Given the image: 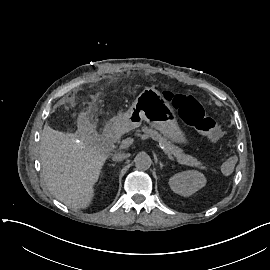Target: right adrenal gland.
Segmentation results:
<instances>
[{
	"label": "right adrenal gland",
	"instance_id": "2a0ac1e0",
	"mask_svg": "<svg viewBox=\"0 0 270 270\" xmlns=\"http://www.w3.org/2000/svg\"><path fill=\"white\" fill-rule=\"evenodd\" d=\"M116 165H117V164H112L111 166H112V167H115Z\"/></svg>",
	"mask_w": 270,
	"mask_h": 270
}]
</instances>
